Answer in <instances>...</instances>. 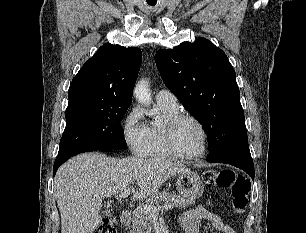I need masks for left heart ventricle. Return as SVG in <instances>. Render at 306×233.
Returning <instances> with one entry per match:
<instances>
[{
    "instance_id": "left-heart-ventricle-1",
    "label": "left heart ventricle",
    "mask_w": 306,
    "mask_h": 233,
    "mask_svg": "<svg viewBox=\"0 0 306 233\" xmlns=\"http://www.w3.org/2000/svg\"><path fill=\"white\" fill-rule=\"evenodd\" d=\"M175 143L178 150L184 154H198L203 146V137L199 127L192 121H183L176 129Z\"/></svg>"
}]
</instances>
